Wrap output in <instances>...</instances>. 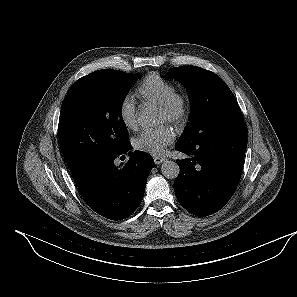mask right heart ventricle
<instances>
[{"mask_svg":"<svg viewBox=\"0 0 297 297\" xmlns=\"http://www.w3.org/2000/svg\"><path fill=\"white\" fill-rule=\"evenodd\" d=\"M176 91L174 85L156 74L147 75L137 86L136 96L143 103L162 104Z\"/></svg>","mask_w":297,"mask_h":297,"instance_id":"right-heart-ventricle-1","label":"right heart ventricle"}]
</instances>
